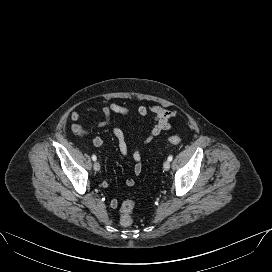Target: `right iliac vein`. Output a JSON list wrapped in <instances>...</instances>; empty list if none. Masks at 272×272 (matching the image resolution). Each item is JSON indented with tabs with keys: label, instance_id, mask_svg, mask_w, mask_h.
<instances>
[{
	"label": "right iliac vein",
	"instance_id": "right-iliac-vein-1",
	"mask_svg": "<svg viewBox=\"0 0 272 272\" xmlns=\"http://www.w3.org/2000/svg\"><path fill=\"white\" fill-rule=\"evenodd\" d=\"M93 168H94L95 171H99L100 170V164H99V162H94Z\"/></svg>",
	"mask_w": 272,
	"mask_h": 272
}]
</instances>
